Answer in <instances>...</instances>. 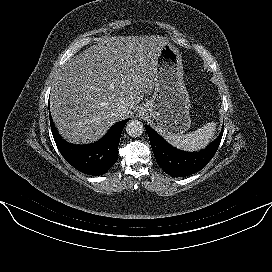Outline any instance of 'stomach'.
I'll return each instance as SVG.
<instances>
[{
  "label": "stomach",
  "instance_id": "stomach-1",
  "mask_svg": "<svg viewBox=\"0 0 272 272\" xmlns=\"http://www.w3.org/2000/svg\"><path fill=\"white\" fill-rule=\"evenodd\" d=\"M190 97L183 78L179 50L170 42L163 46L158 57L155 91L140 108L149 115L163 134H182L191 125Z\"/></svg>",
  "mask_w": 272,
  "mask_h": 272
}]
</instances>
